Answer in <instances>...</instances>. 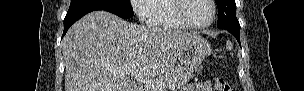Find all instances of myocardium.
Returning <instances> with one entry per match:
<instances>
[{
	"label": "myocardium",
	"mask_w": 304,
	"mask_h": 91,
	"mask_svg": "<svg viewBox=\"0 0 304 91\" xmlns=\"http://www.w3.org/2000/svg\"><path fill=\"white\" fill-rule=\"evenodd\" d=\"M188 1L189 0H176L175 7H174V12H175L177 19L180 20L184 25H186L187 28L205 29L214 23V21L216 19V13H217L215 1L207 0L212 8V17L209 20V22H207L205 24H194L193 22H191L188 19L187 15H186Z\"/></svg>",
	"instance_id": "obj_1"
}]
</instances>
